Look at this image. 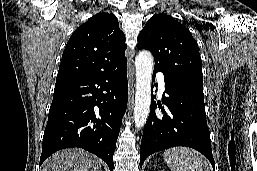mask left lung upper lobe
Here are the masks:
<instances>
[{
    "label": "left lung upper lobe",
    "mask_w": 257,
    "mask_h": 171,
    "mask_svg": "<svg viewBox=\"0 0 257 171\" xmlns=\"http://www.w3.org/2000/svg\"><path fill=\"white\" fill-rule=\"evenodd\" d=\"M137 48L151 51L155 67L203 88L198 44L190 31L171 16L151 17L138 36Z\"/></svg>",
    "instance_id": "1"
}]
</instances>
